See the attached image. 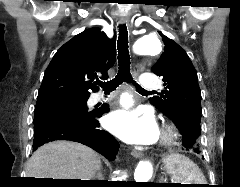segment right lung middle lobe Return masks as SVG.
Here are the masks:
<instances>
[{"mask_svg": "<svg viewBox=\"0 0 240 187\" xmlns=\"http://www.w3.org/2000/svg\"><path fill=\"white\" fill-rule=\"evenodd\" d=\"M88 98L61 99L46 104L38 105L35 108L34 116L37 117L49 110H60L71 115L87 114Z\"/></svg>", "mask_w": 240, "mask_h": 187, "instance_id": "right-lung-middle-lobe-1", "label": "right lung middle lobe"}]
</instances>
